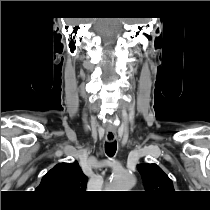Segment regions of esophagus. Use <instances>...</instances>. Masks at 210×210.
Returning <instances> with one entry per match:
<instances>
[{
    "label": "esophagus",
    "mask_w": 210,
    "mask_h": 210,
    "mask_svg": "<svg viewBox=\"0 0 210 210\" xmlns=\"http://www.w3.org/2000/svg\"><path fill=\"white\" fill-rule=\"evenodd\" d=\"M116 137H117L116 132H109V131L106 132L105 139L108 142H111V141L115 140Z\"/></svg>",
    "instance_id": "34e87169"
}]
</instances>
